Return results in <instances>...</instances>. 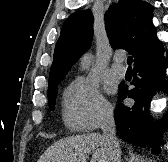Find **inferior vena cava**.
<instances>
[{"instance_id":"obj_1","label":"inferior vena cava","mask_w":168,"mask_h":162,"mask_svg":"<svg viewBox=\"0 0 168 162\" xmlns=\"http://www.w3.org/2000/svg\"><path fill=\"white\" fill-rule=\"evenodd\" d=\"M101 129L103 141L109 153L110 162H121V151L115 136V121L112 109H106L103 113Z\"/></svg>"}]
</instances>
